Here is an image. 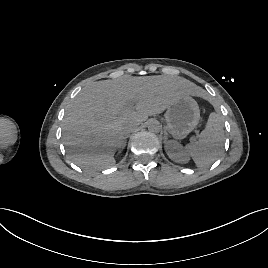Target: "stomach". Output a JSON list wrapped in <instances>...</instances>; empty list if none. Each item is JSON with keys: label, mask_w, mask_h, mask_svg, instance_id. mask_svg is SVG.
<instances>
[{"label": "stomach", "mask_w": 268, "mask_h": 268, "mask_svg": "<svg viewBox=\"0 0 268 268\" xmlns=\"http://www.w3.org/2000/svg\"><path fill=\"white\" fill-rule=\"evenodd\" d=\"M165 118L168 132L175 139H183L199 123V106L189 95L182 96L167 108Z\"/></svg>", "instance_id": "1"}]
</instances>
